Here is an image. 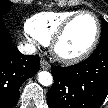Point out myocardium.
Returning a JSON list of instances; mask_svg holds the SVG:
<instances>
[{
  "mask_svg": "<svg viewBox=\"0 0 108 108\" xmlns=\"http://www.w3.org/2000/svg\"><path fill=\"white\" fill-rule=\"evenodd\" d=\"M82 16H91L94 19L95 24H96L95 36H94L91 44L83 52H81L77 55H72V56L64 55L59 51V48H58L59 44L62 41V39L64 38V36L67 33L70 26L78 18H80ZM100 35H101V24H100L98 17L90 11H79V12L75 13L74 15H72L71 17H69L60 26V28L57 30V32L54 34V36L52 37L51 42H50L51 52L58 61H60L64 64H75V63L81 62V61L85 60L87 57H89L91 55V53L95 50V48L97 47V44L99 42Z\"/></svg>",
  "mask_w": 108,
  "mask_h": 108,
  "instance_id": "1",
  "label": "myocardium"
}]
</instances>
